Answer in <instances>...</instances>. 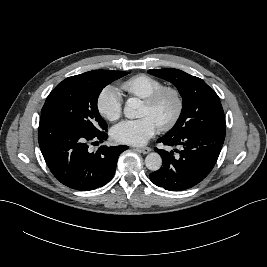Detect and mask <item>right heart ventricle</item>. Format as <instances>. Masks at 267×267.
Instances as JSON below:
<instances>
[{
  "label": "right heart ventricle",
  "mask_w": 267,
  "mask_h": 267,
  "mask_svg": "<svg viewBox=\"0 0 267 267\" xmlns=\"http://www.w3.org/2000/svg\"><path fill=\"white\" fill-rule=\"evenodd\" d=\"M162 86L163 82L156 77L137 74L122 82L121 89L130 96L145 99Z\"/></svg>",
  "instance_id": "1"
}]
</instances>
